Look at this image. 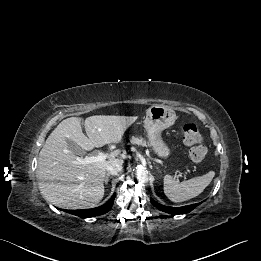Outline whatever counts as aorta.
Segmentation results:
<instances>
[{
  "label": "aorta",
  "instance_id": "762f6f07",
  "mask_svg": "<svg viewBox=\"0 0 261 261\" xmlns=\"http://www.w3.org/2000/svg\"><path fill=\"white\" fill-rule=\"evenodd\" d=\"M134 175L138 181L144 182L148 179L147 171L141 166L136 168V170L134 171Z\"/></svg>",
  "mask_w": 261,
  "mask_h": 261
}]
</instances>
